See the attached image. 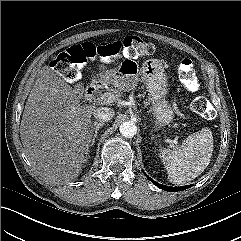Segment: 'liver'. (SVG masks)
Here are the masks:
<instances>
[{"label":"liver","mask_w":241,"mask_h":241,"mask_svg":"<svg viewBox=\"0 0 241 241\" xmlns=\"http://www.w3.org/2000/svg\"><path fill=\"white\" fill-rule=\"evenodd\" d=\"M79 93L44 66L28 96L20 137L26 157L45 182L60 184L77 178L89 157L96 107L81 105Z\"/></svg>","instance_id":"6515ba94"}]
</instances>
